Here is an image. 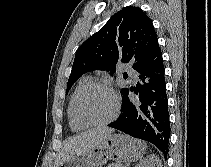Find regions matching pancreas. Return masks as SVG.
<instances>
[{"label": "pancreas", "mask_w": 211, "mask_h": 167, "mask_svg": "<svg viewBox=\"0 0 211 167\" xmlns=\"http://www.w3.org/2000/svg\"><path fill=\"white\" fill-rule=\"evenodd\" d=\"M107 167H125L122 164H109Z\"/></svg>", "instance_id": "cf45deb5"}]
</instances>
